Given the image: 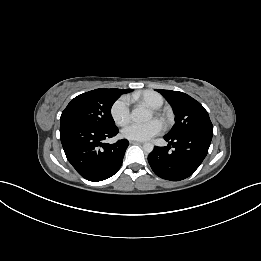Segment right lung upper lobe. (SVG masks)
Wrapping results in <instances>:
<instances>
[{"mask_svg":"<svg viewBox=\"0 0 261 261\" xmlns=\"http://www.w3.org/2000/svg\"><path fill=\"white\" fill-rule=\"evenodd\" d=\"M124 90H130L131 91V89H124ZM129 92V91H128Z\"/></svg>","mask_w":261,"mask_h":261,"instance_id":"obj_1","label":"right lung upper lobe"}]
</instances>
